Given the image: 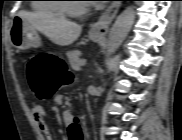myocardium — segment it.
<instances>
[{
    "mask_svg": "<svg viewBox=\"0 0 182 140\" xmlns=\"http://www.w3.org/2000/svg\"><path fill=\"white\" fill-rule=\"evenodd\" d=\"M65 2L62 3L61 7L63 11L72 17L83 15L87 11V5L81 4L80 6H74L73 2H69L71 0H64Z\"/></svg>",
    "mask_w": 182,
    "mask_h": 140,
    "instance_id": "1",
    "label": "myocardium"
}]
</instances>
